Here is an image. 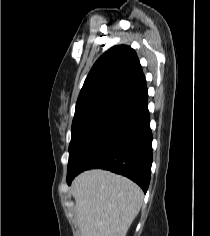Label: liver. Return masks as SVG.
<instances>
[{"mask_svg":"<svg viewBox=\"0 0 210 236\" xmlns=\"http://www.w3.org/2000/svg\"><path fill=\"white\" fill-rule=\"evenodd\" d=\"M71 192L82 236H126L144 197L134 182L105 170L81 173Z\"/></svg>","mask_w":210,"mask_h":236,"instance_id":"obj_1","label":"liver"}]
</instances>
